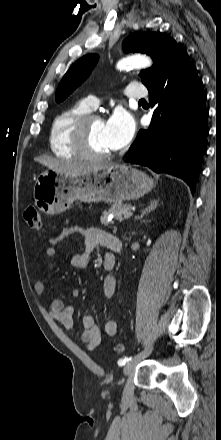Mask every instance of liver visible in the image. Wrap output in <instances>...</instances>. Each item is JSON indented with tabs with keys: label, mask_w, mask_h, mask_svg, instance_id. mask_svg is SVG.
<instances>
[{
	"label": "liver",
	"mask_w": 221,
	"mask_h": 440,
	"mask_svg": "<svg viewBox=\"0 0 221 440\" xmlns=\"http://www.w3.org/2000/svg\"><path fill=\"white\" fill-rule=\"evenodd\" d=\"M34 160L56 172L71 174V175H81V174L90 173L91 171H96L110 165L106 163L66 161L62 159H55L49 156H40L35 158Z\"/></svg>",
	"instance_id": "6515ba94"
}]
</instances>
